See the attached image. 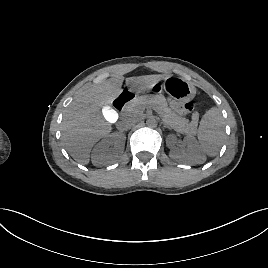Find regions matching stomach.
I'll return each instance as SVG.
<instances>
[{
    "label": "stomach",
    "instance_id": "obj_1",
    "mask_svg": "<svg viewBox=\"0 0 268 268\" xmlns=\"http://www.w3.org/2000/svg\"><path fill=\"white\" fill-rule=\"evenodd\" d=\"M164 87L170 96L178 101H188L194 98L196 89L190 81L177 76H168L163 81ZM162 84L160 81L152 84L148 88L138 89L139 91H157Z\"/></svg>",
    "mask_w": 268,
    "mask_h": 268
}]
</instances>
